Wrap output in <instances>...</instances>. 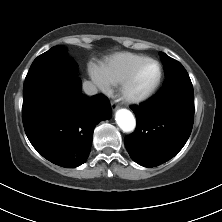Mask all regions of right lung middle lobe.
Returning a JSON list of instances; mask_svg holds the SVG:
<instances>
[{
    "instance_id": "right-lung-middle-lobe-1",
    "label": "right lung middle lobe",
    "mask_w": 222,
    "mask_h": 222,
    "mask_svg": "<svg viewBox=\"0 0 222 222\" xmlns=\"http://www.w3.org/2000/svg\"><path fill=\"white\" fill-rule=\"evenodd\" d=\"M54 46L32 63L23 86V99L37 93L63 94L77 84V65Z\"/></svg>"
}]
</instances>
